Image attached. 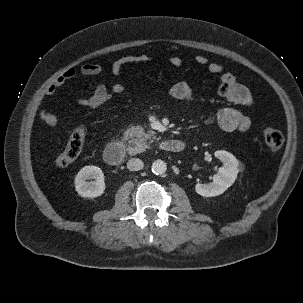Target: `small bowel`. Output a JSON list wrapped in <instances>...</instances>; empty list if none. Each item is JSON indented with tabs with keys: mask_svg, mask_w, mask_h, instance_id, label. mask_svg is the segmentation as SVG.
<instances>
[{
	"mask_svg": "<svg viewBox=\"0 0 303 303\" xmlns=\"http://www.w3.org/2000/svg\"><path fill=\"white\" fill-rule=\"evenodd\" d=\"M151 60L152 57L148 54L124 56L118 58L112 63L111 72L113 75L119 76L125 66L144 64ZM169 61L172 67L178 72H182L184 70V62L180 57L172 56ZM194 61L208 73L221 74L217 93L227 102L245 107H250L252 105L253 101L250 90L245 85L238 83L232 73L224 72V68L221 64L211 62L203 55H197L194 58ZM80 72L85 76H94L102 72V67L99 64L87 63L81 66ZM75 75L76 72L74 69L66 70L46 88L44 95L48 97L53 96L59 88L72 80ZM124 91L125 85L119 82L113 83L110 87H107L105 84H98L90 97L78 98L77 102L82 106H88L91 100L99 98L105 93L121 94ZM170 95L178 101H192L195 98L193 88L184 80L177 81L171 86ZM39 116L41 120L49 126H54L57 123L56 116L46 108L39 109ZM215 118L218 126L227 132H245L251 127L250 118L241 111L232 107L219 109L216 112Z\"/></svg>",
	"mask_w": 303,
	"mask_h": 303,
	"instance_id": "obj_1",
	"label": "small bowel"
}]
</instances>
